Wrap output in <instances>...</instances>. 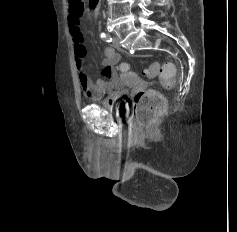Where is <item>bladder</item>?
Wrapping results in <instances>:
<instances>
[{
    "label": "bladder",
    "instance_id": "obj_1",
    "mask_svg": "<svg viewBox=\"0 0 237 232\" xmlns=\"http://www.w3.org/2000/svg\"><path fill=\"white\" fill-rule=\"evenodd\" d=\"M127 95V91L123 90L120 93L121 98L113 103H103L104 107L112 110L116 117L124 118L128 112L129 103L124 97Z\"/></svg>",
    "mask_w": 237,
    "mask_h": 232
}]
</instances>
